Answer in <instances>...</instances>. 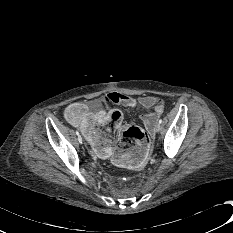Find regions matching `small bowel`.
<instances>
[{
    "mask_svg": "<svg viewBox=\"0 0 233 233\" xmlns=\"http://www.w3.org/2000/svg\"><path fill=\"white\" fill-rule=\"evenodd\" d=\"M108 104L151 109L149 113L141 117L147 130L151 132L156 120L164 111V100L148 95L134 98L122 93L110 92L100 99L86 102L83 105L85 111L79 122L72 123L81 130L88 140L94 155L107 159L111 163L123 165L127 169L139 170L149 157L150 148L145 143L135 144L131 148H121L116 145L115 140L103 135V133H107L110 130L111 125L118 131L123 120L122 113L119 110L106 112L103 109ZM97 126L101 127L103 133Z\"/></svg>",
    "mask_w": 233,
    "mask_h": 233,
    "instance_id": "1",
    "label": "small bowel"
}]
</instances>
